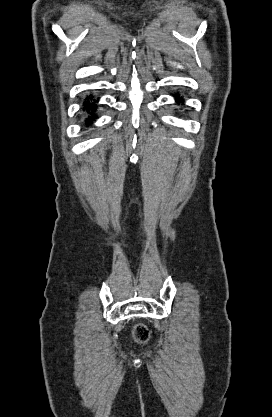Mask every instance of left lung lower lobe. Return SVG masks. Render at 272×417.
Masks as SVG:
<instances>
[{"mask_svg": "<svg viewBox=\"0 0 272 417\" xmlns=\"http://www.w3.org/2000/svg\"><path fill=\"white\" fill-rule=\"evenodd\" d=\"M176 97H179V95H177ZM182 100V98L178 99L177 101L180 102Z\"/></svg>", "mask_w": 272, "mask_h": 417, "instance_id": "left-lung-lower-lobe-1", "label": "left lung lower lobe"}]
</instances>
